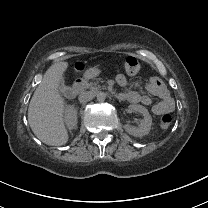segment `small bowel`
<instances>
[{
  "label": "small bowel",
  "mask_w": 208,
  "mask_h": 208,
  "mask_svg": "<svg viewBox=\"0 0 208 208\" xmlns=\"http://www.w3.org/2000/svg\"><path fill=\"white\" fill-rule=\"evenodd\" d=\"M118 85L126 87L128 79L124 74H119L116 77ZM149 94L159 97L161 100L157 103H153L152 98L147 95H142L137 91H128L125 94L126 100L131 103H141L146 106L152 105V111L156 115L169 113L174 109V101L170 95L169 90L161 79L158 77H151L145 85Z\"/></svg>",
  "instance_id": "obj_1"
}]
</instances>
